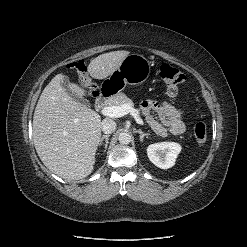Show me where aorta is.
Instances as JSON below:
<instances>
[{
    "mask_svg": "<svg viewBox=\"0 0 247 247\" xmlns=\"http://www.w3.org/2000/svg\"><path fill=\"white\" fill-rule=\"evenodd\" d=\"M118 140L121 144H129L132 140V136L127 132H122L119 134Z\"/></svg>",
    "mask_w": 247,
    "mask_h": 247,
    "instance_id": "1",
    "label": "aorta"
}]
</instances>
